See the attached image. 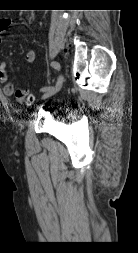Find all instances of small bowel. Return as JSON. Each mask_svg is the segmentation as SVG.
Masks as SVG:
<instances>
[{
  "label": "small bowel",
  "instance_id": "obj_1",
  "mask_svg": "<svg viewBox=\"0 0 138 253\" xmlns=\"http://www.w3.org/2000/svg\"><path fill=\"white\" fill-rule=\"evenodd\" d=\"M12 24L10 19H0V43L3 41V34L6 29ZM25 60L32 63L35 60V52L33 49H28L25 52ZM0 83L3 84V92L6 96H12L15 91L14 85L9 82V75L7 72V63L0 61Z\"/></svg>",
  "mask_w": 138,
  "mask_h": 253
}]
</instances>
